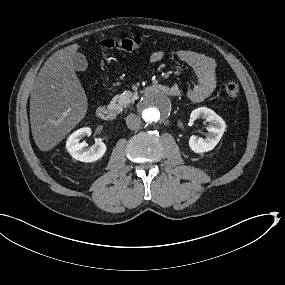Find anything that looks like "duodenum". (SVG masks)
Listing matches in <instances>:
<instances>
[{"label": "duodenum", "instance_id": "obj_1", "mask_svg": "<svg viewBox=\"0 0 285 285\" xmlns=\"http://www.w3.org/2000/svg\"><path fill=\"white\" fill-rule=\"evenodd\" d=\"M145 91L146 92L156 91L161 94L175 96V91L171 87L166 86L164 84H160V83H155V84H151L147 86L145 88ZM96 115L102 121H110L114 119L116 112L111 106L103 105V106L98 107L96 111Z\"/></svg>", "mask_w": 285, "mask_h": 285}]
</instances>
